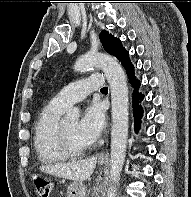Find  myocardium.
<instances>
[{"instance_id":"obj_1","label":"myocardium","mask_w":191,"mask_h":197,"mask_svg":"<svg viewBox=\"0 0 191 197\" xmlns=\"http://www.w3.org/2000/svg\"><path fill=\"white\" fill-rule=\"evenodd\" d=\"M58 139L62 150L69 157L74 158V157L82 156L88 149L87 146L80 148L73 146L68 138V135L64 129L63 124L59 125Z\"/></svg>"}]
</instances>
